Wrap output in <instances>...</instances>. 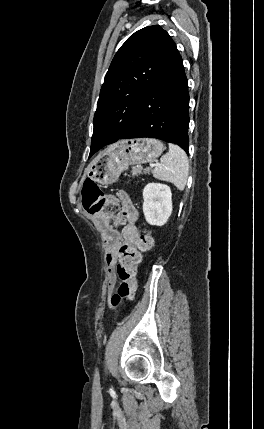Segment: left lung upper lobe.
<instances>
[{
	"mask_svg": "<svg viewBox=\"0 0 264 429\" xmlns=\"http://www.w3.org/2000/svg\"><path fill=\"white\" fill-rule=\"evenodd\" d=\"M171 42L169 34L154 25L135 32L119 48L100 91L90 155L131 130L140 102L156 79Z\"/></svg>",
	"mask_w": 264,
	"mask_h": 429,
	"instance_id": "obj_1",
	"label": "left lung upper lobe"
}]
</instances>
